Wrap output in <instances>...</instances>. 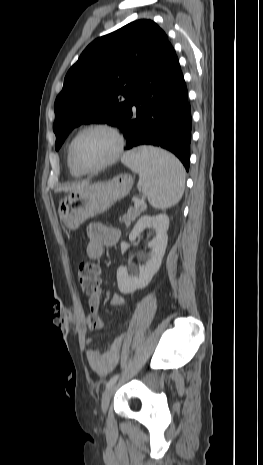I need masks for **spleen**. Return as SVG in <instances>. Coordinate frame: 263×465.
Listing matches in <instances>:
<instances>
[{"label":"spleen","mask_w":263,"mask_h":465,"mask_svg":"<svg viewBox=\"0 0 263 465\" xmlns=\"http://www.w3.org/2000/svg\"><path fill=\"white\" fill-rule=\"evenodd\" d=\"M122 161L139 173L142 189L153 207L165 209L180 201L185 187V169L174 155L143 146L127 152Z\"/></svg>","instance_id":"obj_1"}]
</instances>
